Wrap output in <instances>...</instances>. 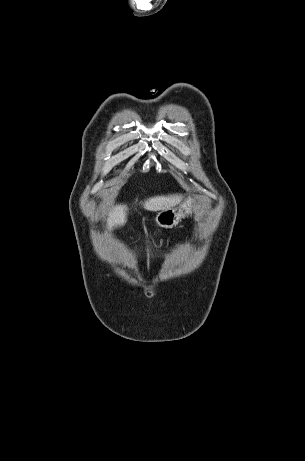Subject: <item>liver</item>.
Returning a JSON list of instances; mask_svg holds the SVG:
<instances>
[{
  "label": "liver",
  "mask_w": 305,
  "mask_h": 461,
  "mask_svg": "<svg viewBox=\"0 0 305 461\" xmlns=\"http://www.w3.org/2000/svg\"><path fill=\"white\" fill-rule=\"evenodd\" d=\"M183 200V195H161L154 196L142 203L144 209L149 211H162L178 205ZM128 208L126 205H116L108 214L107 227L112 228L117 225H124L127 221Z\"/></svg>",
  "instance_id": "obj_1"
}]
</instances>
